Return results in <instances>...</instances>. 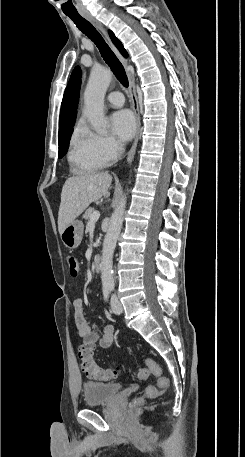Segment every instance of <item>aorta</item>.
<instances>
[{"instance_id":"obj_1","label":"aorta","mask_w":245,"mask_h":457,"mask_svg":"<svg viewBox=\"0 0 245 457\" xmlns=\"http://www.w3.org/2000/svg\"><path fill=\"white\" fill-rule=\"evenodd\" d=\"M111 71L95 66L90 72L88 84L84 93V114L95 130H101L106 124L104 116V96L111 82ZM126 194L120 199L114 210L108 231L105 235L101 259V279L103 286H112L113 279V254L119 237L126 208Z\"/></svg>"}]
</instances>
